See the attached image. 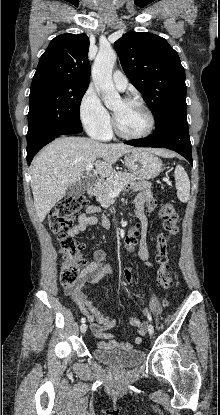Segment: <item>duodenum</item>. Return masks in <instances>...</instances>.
<instances>
[{"mask_svg": "<svg viewBox=\"0 0 220 415\" xmlns=\"http://www.w3.org/2000/svg\"><path fill=\"white\" fill-rule=\"evenodd\" d=\"M95 189H96L95 183H93V182L89 183V185L87 187L88 194L92 195L95 192Z\"/></svg>", "mask_w": 220, "mask_h": 415, "instance_id": "410a0bca", "label": "duodenum"}]
</instances>
